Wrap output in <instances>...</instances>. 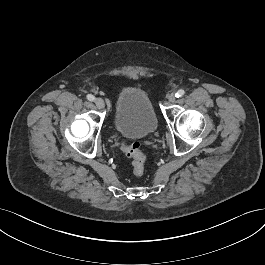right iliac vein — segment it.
Listing matches in <instances>:
<instances>
[{
    "instance_id": "1",
    "label": "right iliac vein",
    "mask_w": 265,
    "mask_h": 265,
    "mask_svg": "<svg viewBox=\"0 0 265 265\" xmlns=\"http://www.w3.org/2000/svg\"><path fill=\"white\" fill-rule=\"evenodd\" d=\"M94 103L99 109H103L105 106L104 101L101 98H96Z\"/></svg>"
}]
</instances>
